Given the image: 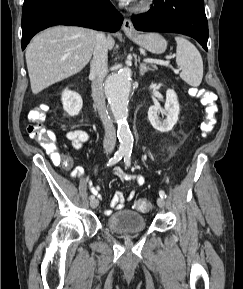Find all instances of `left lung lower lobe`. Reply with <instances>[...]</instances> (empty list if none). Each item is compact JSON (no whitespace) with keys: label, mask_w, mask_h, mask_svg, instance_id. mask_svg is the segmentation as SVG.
<instances>
[{"label":"left lung lower lobe","mask_w":243,"mask_h":289,"mask_svg":"<svg viewBox=\"0 0 243 289\" xmlns=\"http://www.w3.org/2000/svg\"><path fill=\"white\" fill-rule=\"evenodd\" d=\"M139 31L181 33L196 39L207 51L208 23L204 0H154L146 13L131 17Z\"/></svg>","instance_id":"obj_1"}]
</instances>
